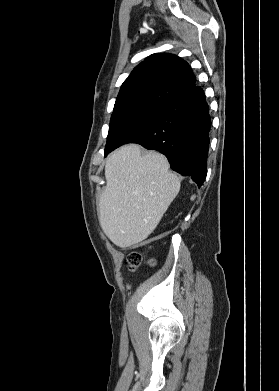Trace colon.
<instances>
[{"mask_svg": "<svg viewBox=\"0 0 279 391\" xmlns=\"http://www.w3.org/2000/svg\"><path fill=\"white\" fill-rule=\"evenodd\" d=\"M130 269H135L143 262V256L136 251L131 252L127 258Z\"/></svg>", "mask_w": 279, "mask_h": 391, "instance_id": "5ec220e1", "label": "colon"}]
</instances>
